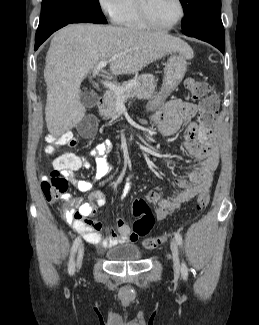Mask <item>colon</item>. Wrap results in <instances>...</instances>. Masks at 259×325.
<instances>
[{
	"instance_id": "1",
	"label": "colon",
	"mask_w": 259,
	"mask_h": 325,
	"mask_svg": "<svg viewBox=\"0 0 259 325\" xmlns=\"http://www.w3.org/2000/svg\"><path fill=\"white\" fill-rule=\"evenodd\" d=\"M185 86L194 99L201 101L205 110L204 114L200 117V124L209 133H212L213 129H219V122H215L218 102L210 85L202 80L187 78ZM51 142L55 145L72 146L76 143V140L72 134L67 133L57 139H52ZM48 149L52 150L53 148L49 147ZM41 189L49 202H56L65 193L67 189V180L59 169H55L49 176L42 179ZM209 200L210 196L208 191L201 192L197 199V209H204L208 205ZM132 211L136 217L133 224L134 233L138 236H146L153 227L155 221L148 204L142 199H137L133 202ZM166 239V235L146 237L143 241V246L146 249L153 250L164 244Z\"/></svg>"
}]
</instances>
